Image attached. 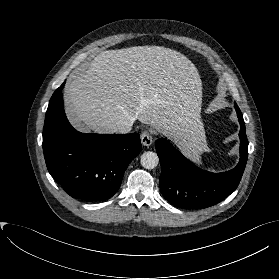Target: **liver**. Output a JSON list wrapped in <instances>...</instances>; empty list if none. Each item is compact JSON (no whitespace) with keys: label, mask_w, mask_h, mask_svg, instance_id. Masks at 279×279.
I'll list each match as a JSON object with an SVG mask.
<instances>
[{"label":"liver","mask_w":279,"mask_h":279,"mask_svg":"<svg viewBox=\"0 0 279 279\" xmlns=\"http://www.w3.org/2000/svg\"><path fill=\"white\" fill-rule=\"evenodd\" d=\"M65 109L81 131L118 133L136 120L188 152L207 150L199 121L202 83L183 54L160 46L106 50L64 88Z\"/></svg>","instance_id":"1"}]
</instances>
